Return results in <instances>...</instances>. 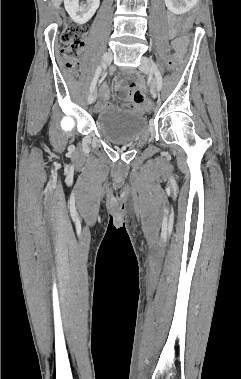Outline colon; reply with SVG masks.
Returning a JSON list of instances; mask_svg holds the SVG:
<instances>
[{
    "instance_id": "1",
    "label": "colon",
    "mask_w": 241,
    "mask_h": 379,
    "mask_svg": "<svg viewBox=\"0 0 241 379\" xmlns=\"http://www.w3.org/2000/svg\"><path fill=\"white\" fill-rule=\"evenodd\" d=\"M198 14L197 8H190L188 14H184V23L182 24L183 30H190L191 25H195L196 18ZM175 28L172 30L171 38H176V40H181L183 38V33H181L180 24H175ZM88 28L85 24L70 23L62 31L59 41H60V52L62 57V62L65 67L69 69H75L80 63V55L85 46V37ZM172 40V39H171ZM175 43V42H174ZM159 60L161 59L162 64L169 65L170 68H177L178 62L174 61L173 57L164 58V54H159ZM142 104L145 109H150L152 104L151 98H143Z\"/></svg>"
}]
</instances>
